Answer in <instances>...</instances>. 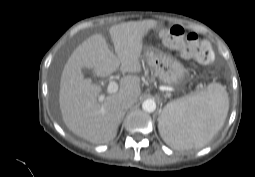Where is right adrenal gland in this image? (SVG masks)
<instances>
[{
    "label": "right adrenal gland",
    "mask_w": 255,
    "mask_h": 177,
    "mask_svg": "<svg viewBox=\"0 0 255 177\" xmlns=\"http://www.w3.org/2000/svg\"><path fill=\"white\" fill-rule=\"evenodd\" d=\"M125 113H126V112H124L123 117H124ZM123 117H122V119H123Z\"/></svg>",
    "instance_id": "1"
}]
</instances>
